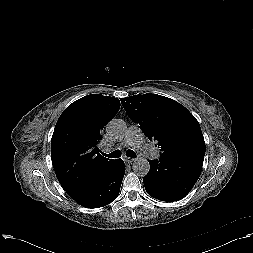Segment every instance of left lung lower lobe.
Returning <instances> with one entry per match:
<instances>
[{
	"label": "left lung lower lobe",
	"mask_w": 253,
	"mask_h": 253,
	"mask_svg": "<svg viewBox=\"0 0 253 253\" xmlns=\"http://www.w3.org/2000/svg\"><path fill=\"white\" fill-rule=\"evenodd\" d=\"M149 164L150 170L143 178L147 193L161 201H177L195 185L201 174L203 160L168 156L149 160Z\"/></svg>",
	"instance_id": "0a47b994"
}]
</instances>
